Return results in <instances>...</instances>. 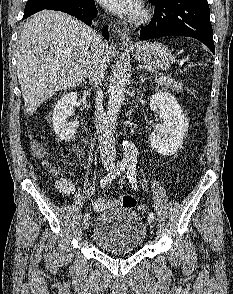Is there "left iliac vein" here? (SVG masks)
Here are the masks:
<instances>
[{
	"mask_svg": "<svg viewBox=\"0 0 233 294\" xmlns=\"http://www.w3.org/2000/svg\"><path fill=\"white\" fill-rule=\"evenodd\" d=\"M147 221H148V224L150 225V227L153 228L155 226V220H154V218L148 217Z\"/></svg>",
	"mask_w": 233,
	"mask_h": 294,
	"instance_id": "left-iliac-vein-1",
	"label": "left iliac vein"
}]
</instances>
